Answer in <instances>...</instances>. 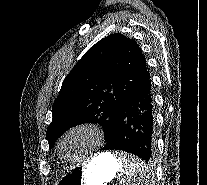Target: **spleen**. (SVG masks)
<instances>
[{
  "label": "spleen",
  "instance_id": "obj_1",
  "mask_svg": "<svg viewBox=\"0 0 207 185\" xmlns=\"http://www.w3.org/2000/svg\"><path fill=\"white\" fill-rule=\"evenodd\" d=\"M117 158L121 172L116 185H146L147 179H155V174H149V166L143 163V159H133L136 153H117Z\"/></svg>",
  "mask_w": 207,
  "mask_h": 185
}]
</instances>
